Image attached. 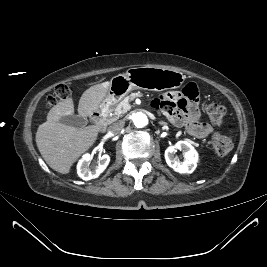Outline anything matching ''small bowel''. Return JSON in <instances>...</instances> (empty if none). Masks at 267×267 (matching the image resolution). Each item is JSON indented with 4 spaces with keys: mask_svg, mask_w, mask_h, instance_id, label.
<instances>
[{
    "mask_svg": "<svg viewBox=\"0 0 267 267\" xmlns=\"http://www.w3.org/2000/svg\"><path fill=\"white\" fill-rule=\"evenodd\" d=\"M153 107L162 111L170 120L179 126H185L194 137L206 138L213 129L200 121L198 108V88L188 83L181 91H168L153 101Z\"/></svg>",
    "mask_w": 267,
    "mask_h": 267,
    "instance_id": "1",
    "label": "small bowel"
}]
</instances>
